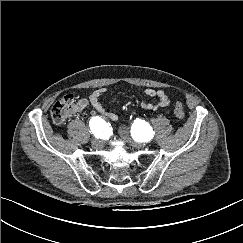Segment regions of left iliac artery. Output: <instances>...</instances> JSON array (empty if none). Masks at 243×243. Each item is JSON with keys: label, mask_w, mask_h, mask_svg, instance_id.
Wrapping results in <instances>:
<instances>
[{"label": "left iliac artery", "mask_w": 243, "mask_h": 243, "mask_svg": "<svg viewBox=\"0 0 243 243\" xmlns=\"http://www.w3.org/2000/svg\"><path fill=\"white\" fill-rule=\"evenodd\" d=\"M137 121H139L137 119ZM143 122V120H141ZM138 125H136L135 123L132 125V128H131V135L132 137L136 140V141H141L142 139L141 138H144L143 136H146L145 139H151L153 137V134L150 133V131H147V132H143L141 131L140 129H138L137 127ZM152 132V131H151Z\"/></svg>", "instance_id": "44dca946"}]
</instances>
